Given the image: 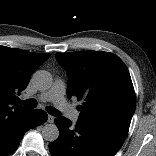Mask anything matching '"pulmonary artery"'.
I'll return each mask as SVG.
<instances>
[{
    "label": "pulmonary artery",
    "mask_w": 156,
    "mask_h": 156,
    "mask_svg": "<svg viewBox=\"0 0 156 156\" xmlns=\"http://www.w3.org/2000/svg\"><path fill=\"white\" fill-rule=\"evenodd\" d=\"M66 86L65 83L57 79L54 81L52 87L41 93L38 98L42 102H52L59 110H61L73 122H77L79 113L65 99Z\"/></svg>",
    "instance_id": "obj_1"
}]
</instances>
